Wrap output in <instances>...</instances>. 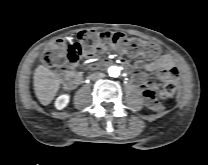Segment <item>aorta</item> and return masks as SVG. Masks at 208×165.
Returning <instances> with one entry per match:
<instances>
[{
	"label": "aorta",
	"instance_id": "1",
	"mask_svg": "<svg viewBox=\"0 0 208 165\" xmlns=\"http://www.w3.org/2000/svg\"><path fill=\"white\" fill-rule=\"evenodd\" d=\"M109 76L111 77H118L120 75V67L111 66L108 69Z\"/></svg>",
	"mask_w": 208,
	"mask_h": 165
}]
</instances>
